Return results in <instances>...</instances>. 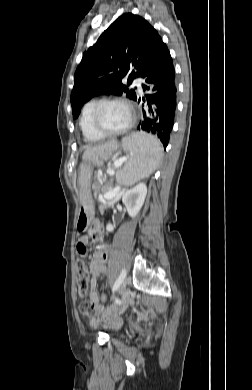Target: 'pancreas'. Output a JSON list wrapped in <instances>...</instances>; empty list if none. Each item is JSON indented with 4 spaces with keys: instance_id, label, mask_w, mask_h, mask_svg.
<instances>
[{
    "instance_id": "1",
    "label": "pancreas",
    "mask_w": 252,
    "mask_h": 390,
    "mask_svg": "<svg viewBox=\"0 0 252 390\" xmlns=\"http://www.w3.org/2000/svg\"><path fill=\"white\" fill-rule=\"evenodd\" d=\"M106 203L107 202H100V205H99V210H100V216L101 217H104L105 216V209H107L108 207L106 206Z\"/></svg>"
}]
</instances>
